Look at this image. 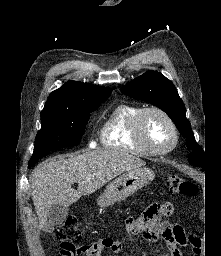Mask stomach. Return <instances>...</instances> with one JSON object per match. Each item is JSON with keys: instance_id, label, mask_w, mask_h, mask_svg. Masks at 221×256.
Segmentation results:
<instances>
[{"instance_id": "1", "label": "stomach", "mask_w": 221, "mask_h": 256, "mask_svg": "<svg viewBox=\"0 0 221 256\" xmlns=\"http://www.w3.org/2000/svg\"><path fill=\"white\" fill-rule=\"evenodd\" d=\"M154 177L155 173L148 168L130 170L110 182L99 196L97 203L101 207H108L116 202L123 201L150 183Z\"/></svg>"}]
</instances>
